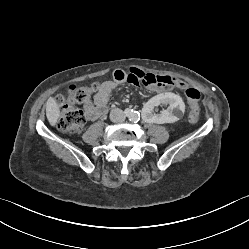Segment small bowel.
I'll list each match as a JSON object with an SVG mask.
<instances>
[{"label":"small bowel","instance_id":"small-bowel-1","mask_svg":"<svg viewBox=\"0 0 249 249\" xmlns=\"http://www.w3.org/2000/svg\"><path fill=\"white\" fill-rule=\"evenodd\" d=\"M131 73V75H129ZM127 73L123 70H115L113 79L104 81L99 88L84 101L83 108L88 120H97L105 116L107 103L111 92L120 84L128 82L131 86L142 85L144 81V72L140 68H135ZM165 78L166 76H160ZM180 88L175 83L165 84L161 87L172 86Z\"/></svg>","mask_w":249,"mask_h":249}]
</instances>
